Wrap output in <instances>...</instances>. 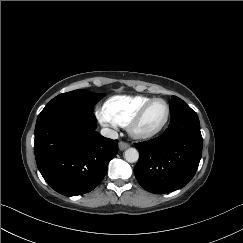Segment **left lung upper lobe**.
I'll list each match as a JSON object with an SVG mask.
<instances>
[{
  "label": "left lung upper lobe",
  "instance_id": "1",
  "mask_svg": "<svg viewBox=\"0 0 243 243\" xmlns=\"http://www.w3.org/2000/svg\"><path fill=\"white\" fill-rule=\"evenodd\" d=\"M171 121L180 117L197 115L183 100L176 96H172L170 100Z\"/></svg>",
  "mask_w": 243,
  "mask_h": 243
}]
</instances>
